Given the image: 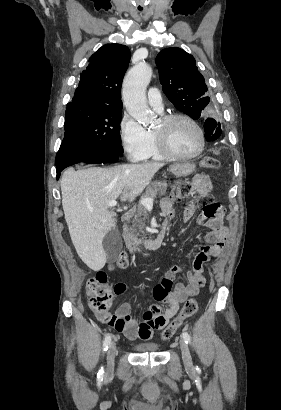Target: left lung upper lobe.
<instances>
[{"mask_svg":"<svg viewBox=\"0 0 281 410\" xmlns=\"http://www.w3.org/2000/svg\"><path fill=\"white\" fill-rule=\"evenodd\" d=\"M156 63L163 91L174 106L193 119L205 117L210 98L194 57L180 48H166L157 55ZM220 134L219 123L216 135Z\"/></svg>","mask_w":281,"mask_h":410,"instance_id":"obj_1","label":"left lung upper lobe"}]
</instances>
